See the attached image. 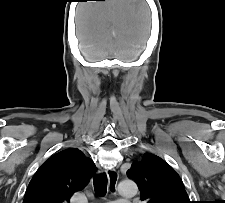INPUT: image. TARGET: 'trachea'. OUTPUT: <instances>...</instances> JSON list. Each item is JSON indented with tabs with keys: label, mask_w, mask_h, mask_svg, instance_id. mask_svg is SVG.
I'll return each mask as SVG.
<instances>
[{
	"label": "trachea",
	"mask_w": 225,
	"mask_h": 203,
	"mask_svg": "<svg viewBox=\"0 0 225 203\" xmlns=\"http://www.w3.org/2000/svg\"><path fill=\"white\" fill-rule=\"evenodd\" d=\"M93 185L97 195L105 196L107 192V175L105 173L96 175L93 178Z\"/></svg>",
	"instance_id": "3493384b"
}]
</instances>
